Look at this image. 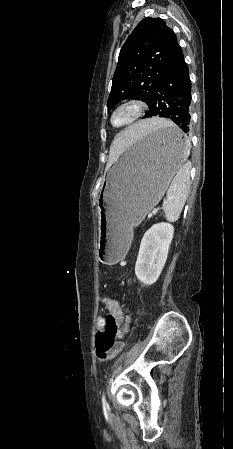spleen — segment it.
Here are the masks:
<instances>
[{"instance_id": "spleen-1", "label": "spleen", "mask_w": 233, "mask_h": 449, "mask_svg": "<svg viewBox=\"0 0 233 449\" xmlns=\"http://www.w3.org/2000/svg\"><path fill=\"white\" fill-rule=\"evenodd\" d=\"M170 125L172 123L170 122ZM168 127V125H166ZM189 141L187 142V151H185V157L187 158L189 153ZM186 161V159H185ZM184 161V162H185ZM190 188V166L188 163H182L172 180V183L167 191L166 199L163 202V210L165 212V218L170 222L178 220L182 209L185 205Z\"/></svg>"}]
</instances>
